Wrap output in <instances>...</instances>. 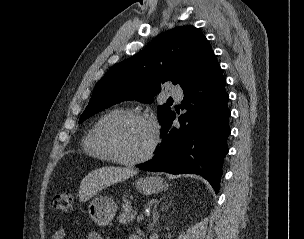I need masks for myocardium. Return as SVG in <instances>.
<instances>
[{"instance_id": "myocardium-1", "label": "myocardium", "mask_w": 304, "mask_h": 239, "mask_svg": "<svg viewBox=\"0 0 304 239\" xmlns=\"http://www.w3.org/2000/svg\"><path fill=\"white\" fill-rule=\"evenodd\" d=\"M128 121H141L147 123L152 127L153 130V138L149 148L146 150L144 154L135 158H125L121 156L117 151L112 139V133L114 129L117 128L119 125ZM100 141L103 147L110 154L114 162H117L122 165L131 166V165H137L143 163L149 160L153 156L157 148V145L159 143V135L152 121L146 115L140 112L124 111L122 113L115 115L104 124V126L100 131Z\"/></svg>"}]
</instances>
